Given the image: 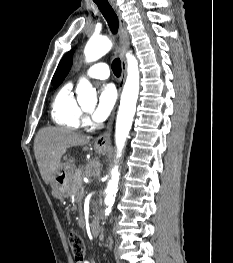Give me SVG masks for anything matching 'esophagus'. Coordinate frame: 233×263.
Here are the masks:
<instances>
[{
  "mask_svg": "<svg viewBox=\"0 0 233 263\" xmlns=\"http://www.w3.org/2000/svg\"><path fill=\"white\" fill-rule=\"evenodd\" d=\"M110 4L113 7L115 13L117 14L119 20L120 59H121V67H122V73L119 80V89H118V93L120 94L126 78L125 56L129 50L130 41H129V34L127 31L126 23L122 18L121 11L118 8L117 3L115 2V0H110ZM113 120H114V112L106 126L105 131L102 134H100L96 139L95 143L98 148H106L109 145Z\"/></svg>",
  "mask_w": 233,
  "mask_h": 263,
  "instance_id": "obj_1",
  "label": "esophagus"
}]
</instances>
